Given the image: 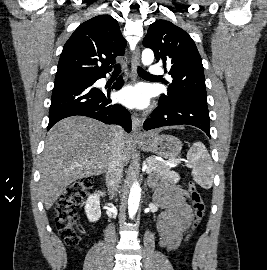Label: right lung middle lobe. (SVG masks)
Here are the masks:
<instances>
[{
  "mask_svg": "<svg viewBox=\"0 0 267 270\" xmlns=\"http://www.w3.org/2000/svg\"><path fill=\"white\" fill-rule=\"evenodd\" d=\"M87 76L76 75V74H66L55 77V82L57 81H66V80H85Z\"/></svg>",
  "mask_w": 267,
  "mask_h": 270,
  "instance_id": "obj_1",
  "label": "right lung middle lobe"
}]
</instances>
